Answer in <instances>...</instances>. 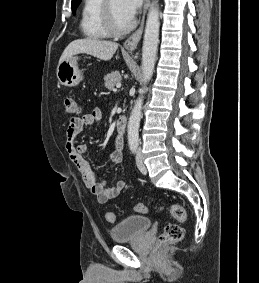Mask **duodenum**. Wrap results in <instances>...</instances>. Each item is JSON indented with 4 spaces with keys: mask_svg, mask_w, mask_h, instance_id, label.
Returning <instances> with one entry per match:
<instances>
[{
    "mask_svg": "<svg viewBox=\"0 0 259 283\" xmlns=\"http://www.w3.org/2000/svg\"><path fill=\"white\" fill-rule=\"evenodd\" d=\"M128 121L125 116H121L116 125V132L118 135L122 136L126 133Z\"/></svg>",
    "mask_w": 259,
    "mask_h": 283,
    "instance_id": "410a0bca",
    "label": "duodenum"
}]
</instances>
